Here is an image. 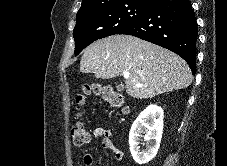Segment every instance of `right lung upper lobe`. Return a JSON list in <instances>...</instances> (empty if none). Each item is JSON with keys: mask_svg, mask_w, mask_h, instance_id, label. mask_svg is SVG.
Returning <instances> with one entry per match:
<instances>
[{"mask_svg": "<svg viewBox=\"0 0 227 166\" xmlns=\"http://www.w3.org/2000/svg\"><path fill=\"white\" fill-rule=\"evenodd\" d=\"M157 0H83L77 14L95 11L112 5L141 3L152 6Z\"/></svg>", "mask_w": 227, "mask_h": 166, "instance_id": "obj_1", "label": "right lung upper lobe"}]
</instances>
